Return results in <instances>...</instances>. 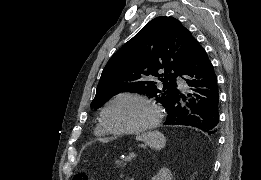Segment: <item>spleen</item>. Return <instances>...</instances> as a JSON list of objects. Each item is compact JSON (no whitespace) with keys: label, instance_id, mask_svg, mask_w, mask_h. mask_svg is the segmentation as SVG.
Returning <instances> with one entry per match:
<instances>
[{"label":"spleen","instance_id":"3e777b00","mask_svg":"<svg viewBox=\"0 0 261 180\" xmlns=\"http://www.w3.org/2000/svg\"><path fill=\"white\" fill-rule=\"evenodd\" d=\"M136 140H141V142H148V144H153L155 148H164L165 138L160 132H146V134H139L136 136Z\"/></svg>","mask_w":261,"mask_h":180}]
</instances>
